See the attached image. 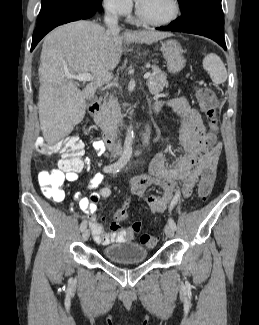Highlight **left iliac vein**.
<instances>
[{
	"label": "left iliac vein",
	"mask_w": 259,
	"mask_h": 325,
	"mask_svg": "<svg viewBox=\"0 0 259 325\" xmlns=\"http://www.w3.org/2000/svg\"><path fill=\"white\" fill-rule=\"evenodd\" d=\"M164 231L168 238L174 237V229L169 224L165 226Z\"/></svg>",
	"instance_id": "obj_1"
}]
</instances>
